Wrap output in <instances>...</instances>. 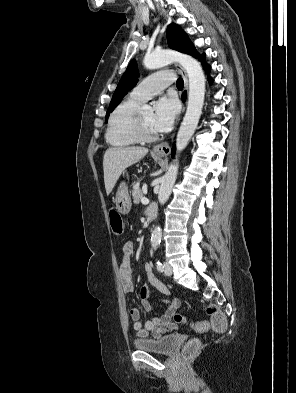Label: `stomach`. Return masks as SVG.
<instances>
[{
	"label": "stomach",
	"mask_w": 296,
	"mask_h": 393,
	"mask_svg": "<svg viewBox=\"0 0 296 393\" xmlns=\"http://www.w3.org/2000/svg\"><path fill=\"white\" fill-rule=\"evenodd\" d=\"M162 155H159L161 157ZM116 208L121 214H128L131 209V199L128 192V187L125 182H122L116 192L115 196Z\"/></svg>",
	"instance_id": "0dacf381"
}]
</instances>
